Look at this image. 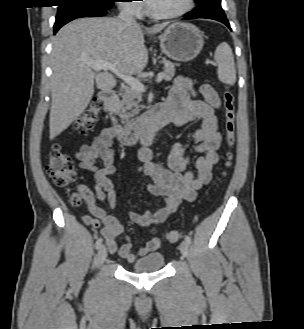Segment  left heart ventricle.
I'll list each match as a JSON object with an SVG mask.
<instances>
[{"mask_svg": "<svg viewBox=\"0 0 304 329\" xmlns=\"http://www.w3.org/2000/svg\"><path fill=\"white\" fill-rule=\"evenodd\" d=\"M147 2L156 13H170L182 9L186 0H148Z\"/></svg>", "mask_w": 304, "mask_h": 329, "instance_id": "b2bd125f", "label": "left heart ventricle"}]
</instances>
